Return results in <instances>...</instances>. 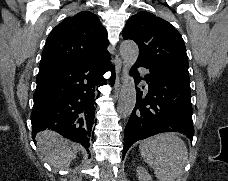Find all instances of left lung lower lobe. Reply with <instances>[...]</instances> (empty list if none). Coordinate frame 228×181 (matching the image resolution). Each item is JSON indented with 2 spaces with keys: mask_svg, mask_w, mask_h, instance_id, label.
I'll return each instance as SVG.
<instances>
[{
  "mask_svg": "<svg viewBox=\"0 0 228 181\" xmlns=\"http://www.w3.org/2000/svg\"><path fill=\"white\" fill-rule=\"evenodd\" d=\"M137 66L149 70L145 76L148 87L137 89L136 105L125 127L123 158L133 143L158 133L179 132L191 141L194 135L189 75L139 59ZM132 74L135 84L144 79L135 68Z\"/></svg>",
  "mask_w": 228,
  "mask_h": 181,
  "instance_id": "1",
  "label": "left lung lower lobe"
}]
</instances>
